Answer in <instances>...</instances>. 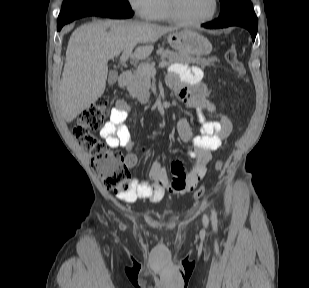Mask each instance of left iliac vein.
<instances>
[{
    "label": "left iliac vein",
    "mask_w": 309,
    "mask_h": 288,
    "mask_svg": "<svg viewBox=\"0 0 309 288\" xmlns=\"http://www.w3.org/2000/svg\"><path fill=\"white\" fill-rule=\"evenodd\" d=\"M204 224L205 225L207 224V218H204Z\"/></svg>",
    "instance_id": "left-iliac-vein-1"
}]
</instances>
